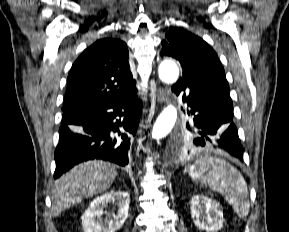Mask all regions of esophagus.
<instances>
[{
  "label": "esophagus",
  "mask_w": 289,
  "mask_h": 232,
  "mask_svg": "<svg viewBox=\"0 0 289 232\" xmlns=\"http://www.w3.org/2000/svg\"><path fill=\"white\" fill-rule=\"evenodd\" d=\"M157 97H158V101H159V102H161V103L165 102V100H166V93H165L164 89H162V88H159V89H158Z\"/></svg>",
  "instance_id": "esophagus-1"
}]
</instances>
